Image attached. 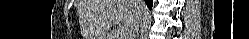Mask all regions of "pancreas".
Instances as JSON below:
<instances>
[{"instance_id":"obj_1","label":"pancreas","mask_w":249,"mask_h":39,"mask_svg":"<svg viewBox=\"0 0 249 39\" xmlns=\"http://www.w3.org/2000/svg\"><path fill=\"white\" fill-rule=\"evenodd\" d=\"M114 35H115V34H114ZM118 36H119V35H118ZM118 36H117L116 38H117V39H120V37H118Z\"/></svg>"}]
</instances>
